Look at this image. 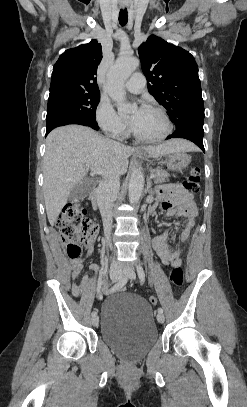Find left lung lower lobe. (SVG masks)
Masks as SVG:
<instances>
[{
    "mask_svg": "<svg viewBox=\"0 0 247 407\" xmlns=\"http://www.w3.org/2000/svg\"><path fill=\"white\" fill-rule=\"evenodd\" d=\"M203 123H204L203 117H190L188 119H185L184 121L176 125V130L172 135L168 136L167 139L170 138L188 139L195 143L203 152H205L203 146V135H204Z\"/></svg>",
    "mask_w": 247,
    "mask_h": 407,
    "instance_id": "obj_1",
    "label": "left lung lower lobe"
}]
</instances>
